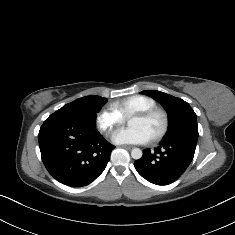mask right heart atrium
<instances>
[{
    "label": "right heart atrium",
    "instance_id": "1",
    "mask_svg": "<svg viewBox=\"0 0 235 235\" xmlns=\"http://www.w3.org/2000/svg\"><path fill=\"white\" fill-rule=\"evenodd\" d=\"M94 121L97 130L108 136L115 129L124 126L125 118L116 112L112 104H107L96 114Z\"/></svg>",
    "mask_w": 235,
    "mask_h": 235
}]
</instances>
